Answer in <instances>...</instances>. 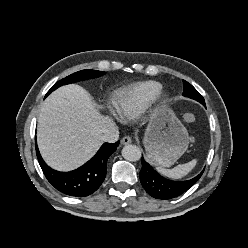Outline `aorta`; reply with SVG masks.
I'll list each match as a JSON object with an SVG mask.
<instances>
[{
  "label": "aorta",
  "mask_w": 248,
  "mask_h": 248,
  "mask_svg": "<svg viewBox=\"0 0 248 248\" xmlns=\"http://www.w3.org/2000/svg\"><path fill=\"white\" fill-rule=\"evenodd\" d=\"M122 156L127 161L135 162L141 158V150L136 145H126L122 149Z\"/></svg>",
  "instance_id": "obj_1"
}]
</instances>
